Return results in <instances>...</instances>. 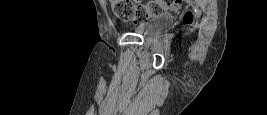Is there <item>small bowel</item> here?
<instances>
[{
	"instance_id": "1",
	"label": "small bowel",
	"mask_w": 267,
	"mask_h": 115,
	"mask_svg": "<svg viewBox=\"0 0 267 115\" xmlns=\"http://www.w3.org/2000/svg\"><path fill=\"white\" fill-rule=\"evenodd\" d=\"M162 5L167 10H177L180 7L179 1H166L162 2Z\"/></svg>"
}]
</instances>
